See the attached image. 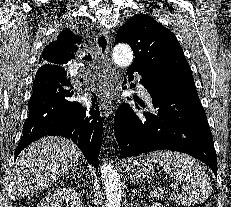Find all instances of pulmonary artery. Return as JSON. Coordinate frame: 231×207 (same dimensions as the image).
I'll return each mask as SVG.
<instances>
[{
	"label": "pulmonary artery",
	"mask_w": 231,
	"mask_h": 207,
	"mask_svg": "<svg viewBox=\"0 0 231 207\" xmlns=\"http://www.w3.org/2000/svg\"><path fill=\"white\" fill-rule=\"evenodd\" d=\"M138 90H139V92H140L141 94L146 95L145 90H144V87H143L141 84H138Z\"/></svg>",
	"instance_id": "pulmonary-artery-1"
}]
</instances>
